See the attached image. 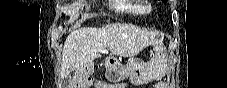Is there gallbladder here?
<instances>
[{
	"label": "gallbladder",
	"instance_id": "gallbladder-1",
	"mask_svg": "<svg viewBox=\"0 0 227 88\" xmlns=\"http://www.w3.org/2000/svg\"><path fill=\"white\" fill-rule=\"evenodd\" d=\"M69 82H70V77L65 78V79L62 81V88L67 87V85L69 84Z\"/></svg>",
	"mask_w": 227,
	"mask_h": 88
}]
</instances>
